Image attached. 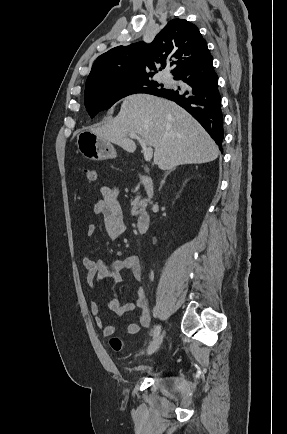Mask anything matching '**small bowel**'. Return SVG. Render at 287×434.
Here are the masks:
<instances>
[{"mask_svg": "<svg viewBox=\"0 0 287 434\" xmlns=\"http://www.w3.org/2000/svg\"><path fill=\"white\" fill-rule=\"evenodd\" d=\"M102 198L94 205V214L102 217L103 225L108 239L116 240L120 238L127 230L124 213L118 198V194L114 188L102 187ZM95 226L89 224L86 229L88 237L95 234ZM82 265L87 271V283L90 288L95 289L104 279H112L115 283L121 282V271L130 270L133 280L140 284L142 281V265L137 255L130 254L122 259H117L107 263L102 260H94L89 257L82 258ZM105 307L117 315H123L133 311L135 308L139 310V321L137 323H129L126 327L128 336L136 335L141 328H147L151 324V316L146 301V293L143 287L139 286L134 301L123 303L120 297L116 296L108 301ZM90 311L95 316L96 325L103 330L105 337H110L115 334V327L107 325L105 320L100 316L102 306L95 301L90 302Z\"/></svg>", "mask_w": 287, "mask_h": 434, "instance_id": "c3829d8e", "label": "small bowel"}]
</instances>
